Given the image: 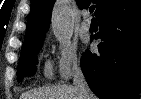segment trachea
Wrapping results in <instances>:
<instances>
[{
	"label": "trachea",
	"mask_w": 141,
	"mask_h": 99,
	"mask_svg": "<svg viewBox=\"0 0 141 99\" xmlns=\"http://www.w3.org/2000/svg\"><path fill=\"white\" fill-rule=\"evenodd\" d=\"M94 9H95V6H94V5H93V6H91V7H90V10H89V11H90V13H92V12L94 11Z\"/></svg>",
	"instance_id": "trachea-1"
}]
</instances>
